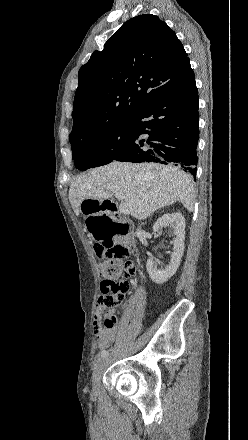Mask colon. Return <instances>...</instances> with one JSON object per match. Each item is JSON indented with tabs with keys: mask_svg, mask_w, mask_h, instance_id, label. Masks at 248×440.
I'll return each mask as SVG.
<instances>
[{
	"mask_svg": "<svg viewBox=\"0 0 248 440\" xmlns=\"http://www.w3.org/2000/svg\"><path fill=\"white\" fill-rule=\"evenodd\" d=\"M111 223L113 225L112 219ZM94 252L101 259L100 272L104 276L97 307L110 310L120 305L130 290L129 280L137 272L133 251L121 242L106 241L105 246H94ZM116 322L114 315L105 318L107 327H113Z\"/></svg>",
	"mask_w": 248,
	"mask_h": 440,
	"instance_id": "1",
	"label": "colon"
}]
</instances>
